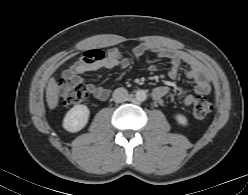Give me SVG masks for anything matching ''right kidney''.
Masks as SVG:
<instances>
[{"mask_svg": "<svg viewBox=\"0 0 248 195\" xmlns=\"http://www.w3.org/2000/svg\"><path fill=\"white\" fill-rule=\"evenodd\" d=\"M90 111L86 105H76L65 115L63 127L69 132H78L85 127L88 122Z\"/></svg>", "mask_w": 248, "mask_h": 195, "instance_id": "1", "label": "right kidney"}]
</instances>
